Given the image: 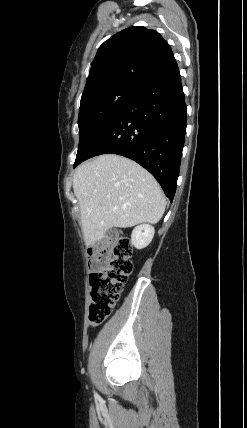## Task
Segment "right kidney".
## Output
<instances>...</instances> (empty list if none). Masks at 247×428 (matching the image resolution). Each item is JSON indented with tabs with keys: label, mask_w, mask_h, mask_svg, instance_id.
<instances>
[{
	"label": "right kidney",
	"mask_w": 247,
	"mask_h": 428,
	"mask_svg": "<svg viewBox=\"0 0 247 428\" xmlns=\"http://www.w3.org/2000/svg\"><path fill=\"white\" fill-rule=\"evenodd\" d=\"M154 233V227L148 224L139 225L132 231L131 244L137 249H143L151 243Z\"/></svg>",
	"instance_id": "right-kidney-1"
}]
</instances>
